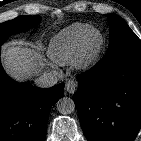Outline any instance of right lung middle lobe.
I'll use <instances>...</instances> for the list:
<instances>
[{
	"instance_id": "dd1d6c3e",
	"label": "right lung middle lobe",
	"mask_w": 141,
	"mask_h": 141,
	"mask_svg": "<svg viewBox=\"0 0 141 141\" xmlns=\"http://www.w3.org/2000/svg\"><path fill=\"white\" fill-rule=\"evenodd\" d=\"M40 20V16H19L13 20L0 24V46L10 35L32 28L37 25Z\"/></svg>"
}]
</instances>
